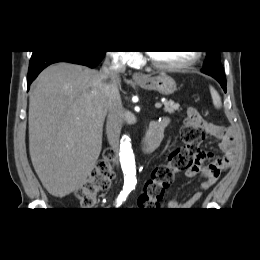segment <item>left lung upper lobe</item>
Masks as SVG:
<instances>
[{"instance_id": "1", "label": "left lung upper lobe", "mask_w": 260, "mask_h": 260, "mask_svg": "<svg viewBox=\"0 0 260 260\" xmlns=\"http://www.w3.org/2000/svg\"><path fill=\"white\" fill-rule=\"evenodd\" d=\"M207 57L203 64L204 68H222L220 62V51H206Z\"/></svg>"}]
</instances>
